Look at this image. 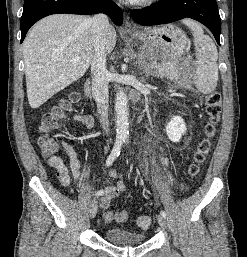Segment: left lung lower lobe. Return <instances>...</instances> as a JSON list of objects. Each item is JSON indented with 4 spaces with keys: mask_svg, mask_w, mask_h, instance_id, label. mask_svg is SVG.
Instances as JSON below:
<instances>
[{
    "mask_svg": "<svg viewBox=\"0 0 247 257\" xmlns=\"http://www.w3.org/2000/svg\"><path fill=\"white\" fill-rule=\"evenodd\" d=\"M132 18L145 26L192 18L208 27L220 45L221 19L216 0H159L156 5L133 10Z\"/></svg>",
    "mask_w": 247,
    "mask_h": 257,
    "instance_id": "0a47b994",
    "label": "left lung lower lobe"
}]
</instances>
